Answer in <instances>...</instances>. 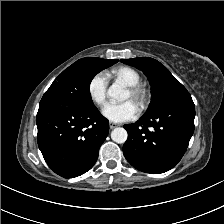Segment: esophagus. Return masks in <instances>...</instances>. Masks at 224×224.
I'll return each instance as SVG.
<instances>
[{
    "mask_svg": "<svg viewBox=\"0 0 224 224\" xmlns=\"http://www.w3.org/2000/svg\"><path fill=\"white\" fill-rule=\"evenodd\" d=\"M118 126H119V125L116 124V123H113V122H110V123H109V127H110V129H114V128L118 127Z\"/></svg>",
    "mask_w": 224,
    "mask_h": 224,
    "instance_id": "1",
    "label": "esophagus"
}]
</instances>
